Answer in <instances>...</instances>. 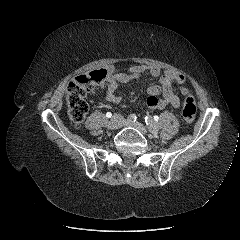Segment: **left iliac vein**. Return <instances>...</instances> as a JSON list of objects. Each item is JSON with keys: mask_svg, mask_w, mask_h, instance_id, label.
<instances>
[{"mask_svg": "<svg viewBox=\"0 0 240 240\" xmlns=\"http://www.w3.org/2000/svg\"><path fill=\"white\" fill-rule=\"evenodd\" d=\"M123 126L135 128L143 135H148L147 127L145 125H143L142 123L125 121V122H123Z\"/></svg>", "mask_w": 240, "mask_h": 240, "instance_id": "obj_1", "label": "left iliac vein"}]
</instances>
